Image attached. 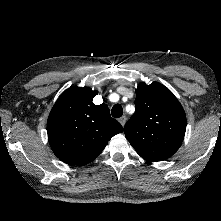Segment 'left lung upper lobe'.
Instances as JSON below:
<instances>
[{
	"label": "left lung upper lobe",
	"instance_id": "1",
	"mask_svg": "<svg viewBox=\"0 0 221 221\" xmlns=\"http://www.w3.org/2000/svg\"><path fill=\"white\" fill-rule=\"evenodd\" d=\"M136 96L135 113L125 124V136L145 160H165L183 141L185 112L175 96L158 82L139 84Z\"/></svg>",
	"mask_w": 221,
	"mask_h": 221
}]
</instances>
